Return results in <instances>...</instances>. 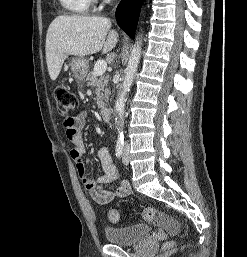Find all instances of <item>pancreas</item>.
Instances as JSON below:
<instances>
[{"instance_id":"1","label":"pancreas","mask_w":247,"mask_h":257,"mask_svg":"<svg viewBox=\"0 0 247 257\" xmlns=\"http://www.w3.org/2000/svg\"><path fill=\"white\" fill-rule=\"evenodd\" d=\"M109 76L100 75L96 76L94 72H89L86 77L87 85L96 88L97 92V105L98 108H104L105 102H108L109 88L108 86Z\"/></svg>"}]
</instances>
